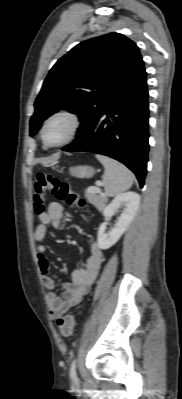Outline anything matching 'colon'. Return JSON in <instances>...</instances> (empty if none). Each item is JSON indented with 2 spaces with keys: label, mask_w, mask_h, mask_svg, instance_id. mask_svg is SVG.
Returning <instances> with one entry per match:
<instances>
[{
  "label": "colon",
  "mask_w": 182,
  "mask_h": 399,
  "mask_svg": "<svg viewBox=\"0 0 182 399\" xmlns=\"http://www.w3.org/2000/svg\"><path fill=\"white\" fill-rule=\"evenodd\" d=\"M48 192H52L58 199L69 206H75L84 212L89 210L85 201L71 189L68 183L48 172L40 171L36 174L32 193L33 208L36 214L41 215L44 213ZM74 325L73 315H64L57 320L58 329L65 337L72 335Z\"/></svg>",
  "instance_id": "1"
}]
</instances>
